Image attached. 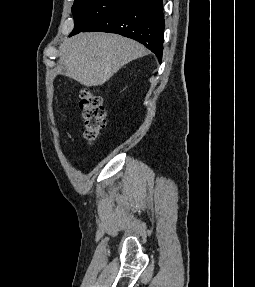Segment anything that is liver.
<instances>
[{
	"label": "liver",
	"instance_id": "liver-1",
	"mask_svg": "<svg viewBox=\"0 0 255 287\" xmlns=\"http://www.w3.org/2000/svg\"><path fill=\"white\" fill-rule=\"evenodd\" d=\"M60 64L83 86H102L122 66L142 58L146 48L116 34H78L61 46Z\"/></svg>",
	"mask_w": 255,
	"mask_h": 287
}]
</instances>
